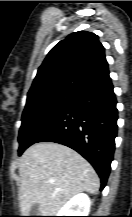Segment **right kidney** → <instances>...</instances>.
Segmentation results:
<instances>
[{
    "label": "right kidney",
    "instance_id": "right-kidney-1",
    "mask_svg": "<svg viewBox=\"0 0 132 217\" xmlns=\"http://www.w3.org/2000/svg\"><path fill=\"white\" fill-rule=\"evenodd\" d=\"M90 204L86 194H77L64 205L57 216H88Z\"/></svg>",
    "mask_w": 132,
    "mask_h": 217
}]
</instances>
